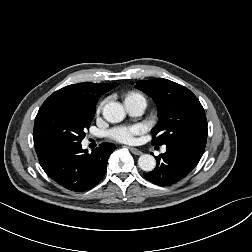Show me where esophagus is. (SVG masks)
I'll list each match as a JSON object with an SVG mask.
<instances>
[{
  "label": "esophagus",
  "mask_w": 252,
  "mask_h": 252,
  "mask_svg": "<svg viewBox=\"0 0 252 252\" xmlns=\"http://www.w3.org/2000/svg\"><path fill=\"white\" fill-rule=\"evenodd\" d=\"M129 150L135 154V155H141L142 152L140 150H138L137 148H134V147H129Z\"/></svg>",
  "instance_id": "1"
}]
</instances>
